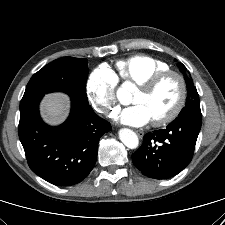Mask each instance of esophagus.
I'll return each instance as SVG.
<instances>
[{"label":"esophagus","instance_id":"1","mask_svg":"<svg viewBox=\"0 0 225 225\" xmlns=\"http://www.w3.org/2000/svg\"><path fill=\"white\" fill-rule=\"evenodd\" d=\"M135 132H136V134L138 135L139 138H143V136H144V132L143 131L136 130Z\"/></svg>","mask_w":225,"mask_h":225}]
</instances>
